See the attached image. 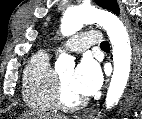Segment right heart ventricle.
<instances>
[{
	"label": "right heart ventricle",
	"instance_id": "1",
	"mask_svg": "<svg viewBox=\"0 0 142 119\" xmlns=\"http://www.w3.org/2000/svg\"><path fill=\"white\" fill-rule=\"evenodd\" d=\"M55 79L48 53L39 51L34 54L23 72L22 94L26 104L36 110H55Z\"/></svg>",
	"mask_w": 142,
	"mask_h": 119
}]
</instances>
